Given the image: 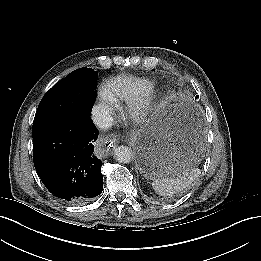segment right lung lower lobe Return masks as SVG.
Returning a JSON list of instances; mask_svg holds the SVG:
<instances>
[{"instance_id": "right-lung-lower-lobe-1", "label": "right lung lower lobe", "mask_w": 261, "mask_h": 261, "mask_svg": "<svg viewBox=\"0 0 261 261\" xmlns=\"http://www.w3.org/2000/svg\"><path fill=\"white\" fill-rule=\"evenodd\" d=\"M90 114L32 128L33 161L41 181L53 195L73 204L103 189L102 162L94 152L99 131Z\"/></svg>"}]
</instances>
